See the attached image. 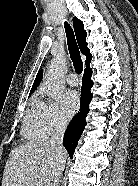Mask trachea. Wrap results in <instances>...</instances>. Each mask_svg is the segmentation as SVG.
Segmentation results:
<instances>
[{
	"label": "trachea",
	"mask_w": 138,
	"mask_h": 186,
	"mask_svg": "<svg viewBox=\"0 0 138 186\" xmlns=\"http://www.w3.org/2000/svg\"><path fill=\"white\" fill-rule=\"evenodd\" d=\"M65 31H66L67 44H68V49L70 53V58L73 62L75 71L78 74H81V72L83 71V62L80 56L78 45L75 40L74 32L71 26L67 22H65Z\"/></svg>",
	"instance_id": "trachea-1"
}]
</instances>
